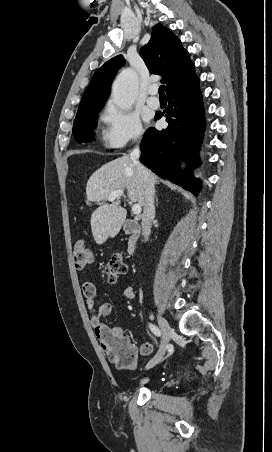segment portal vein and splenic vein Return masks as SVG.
I'll use <instances>...</instances> for the list:
<instances>
[{
	"instance_id": "portal-vein-and-splenic-vein-1",
	"label": "portal vein and splenic vein",
	"mask_w": 272,
	"mask_h": 452,
	"mask_svg": "<svg viewBox=\"0 0 272 452\" xmlns=\"http://www.w3.org/2000/svg\"><path fill=\"white\" fill-rule=\"evenodd\" d=\"M124 195V191L123 190H116L114 192H112L109 197L108 200L109 201H114L116 198L121 197ZM132 213L135 215H138L141 213V206L139 204H134L132 206Z\"/></svg>"
}]
</instances>
